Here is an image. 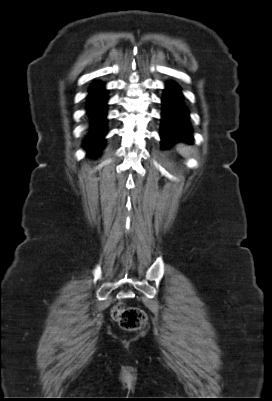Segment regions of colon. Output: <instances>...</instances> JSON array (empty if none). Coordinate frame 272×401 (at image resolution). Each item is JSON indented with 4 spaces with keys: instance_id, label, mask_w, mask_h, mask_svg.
Segmentation results:
<instances>
[{
    "instance_id": "colon-1",
    "label": "colon",
    "mask_w": 272,
    "mask_h": 401,
    "mask_svg": "<svg viewBox=\"0 0 272 401\" xmlns=\"http://www.w3.org/2000/svg\"><path fill=\"white\" fill-rule=\"evenodd\" d=\"M111 317L125 330H139L146 325L147 316L138 307H126L118 303L111 309Z\"/></svg>"
}]
</instances>
